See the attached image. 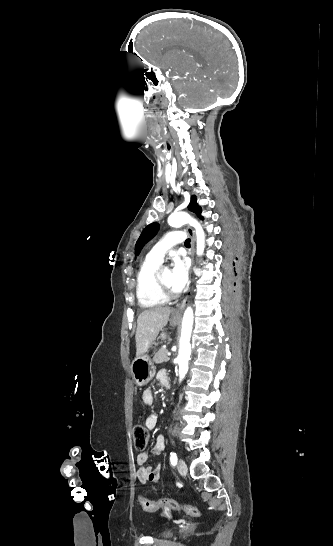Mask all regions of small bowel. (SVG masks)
<instances>
[{"mask_svg":"<svg viewBox=\"0 0 333 546\" xmlns=\"http://www.w3.org/2000/svg\"><path fill=\"white\" fill-rule=\"evenodd\" d=\"M156 377L160 384L164 386H167L169 384V377L165 370H160L157 373ZM142 400L143 403L147 406L153 405L155 400L153 391L151 389L144 390L142 394ZM157 421V414L155 412H151L145 418V425L148 429H154L157 425ZM164 447L165 438L163 435H158L155 439L152 452L156 455H159L164 450ZM148 460L149 455L145 452L139 453L137 455L136 462L140 466V468L138 469L136 476L142 484H146L148 482L158 483L161 480L163 467L162 465H158L154 468L153 466L148 465Z\"/></svg>","mask_w":333,"mask_h":546,"instance_id":"1","label":"small bowel"}]
</instances>
